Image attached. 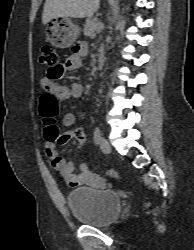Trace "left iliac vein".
<instances>
[{
  "label": "left iliac vein",
  "mask_w": 194,
  "mask_h": 250,
  "mask_svg": "<svg viewBox=\"0 0 194 250\" xmlns=\"http://www.w3.org/2000/svg\"><path fill=\"white\" fill-rule=\"evenodd\" d=\"M100 149L104 153H110L111 152V146H110L109 142L103 137L100 139Z\"/></svg>",
  "instance_id": "left-iliac-vein-1"
}]
</instances>
